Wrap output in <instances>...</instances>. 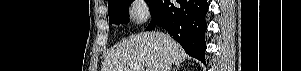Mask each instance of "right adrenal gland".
<instances>
[{
  "mask_svg": "<svg viewBox=\"0 0 301 71\" xmlns=\"http://www.w3.org/2000/svg\"><path fill=\"white\" fill-rule=\"evenodd\" d=\"M180 65H176L175 67H174V69H173V71H179L180 70Z\"/></svg>",
  "mask_w": 301,
  "mask_h": 71,
  "instance_id": "2a0ac1e0",
  "label": "right adrenal gland"
}]
</instances>
